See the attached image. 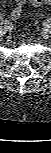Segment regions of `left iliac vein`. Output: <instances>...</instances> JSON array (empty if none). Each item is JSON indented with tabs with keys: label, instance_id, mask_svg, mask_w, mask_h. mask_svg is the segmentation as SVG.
I'll list each match as a JSON object with an SVG mask.
<instances>
[{
	"label": "left iliac vein",
	"instance_id": "left-iliac-vein-1",
	"mask_svg": "<svg viewBox=\"0 0 51 153\" xmlns=\"http://www.w3.org/2000/svg\"><path fill=\"white\" fill-rule=\"evenodd\" d=\"M43 31H44L45 33H47V34L51 33L50 26H48V27L44 28V30H43Z\"/></svg>",
	"mask_w": 51,
	"mask_h": 153
}]
</instances>
